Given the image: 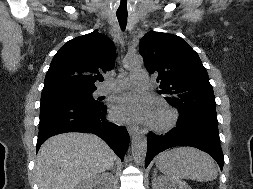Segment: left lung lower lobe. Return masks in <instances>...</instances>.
I'll use <instances>...</instances> for the list:
<instances>
[{"instance_id":"obj_1","label":"left lung lower lobe","mask_w":253,"mask_h":189,"mask_svg":"<svg viewBox=\"0 0 253 189\" xmlns=\"http://www.w3.org/2000/svg\"><path fill=\"white\" fill-rule=\"evenodd\" d=\"M176 128L164 136L148 134L145 167L160 152L175 146H192L211 155L223 168L224 157L219 143L217 116L198 112H179Z\"/></svg>"}]
</instances>
